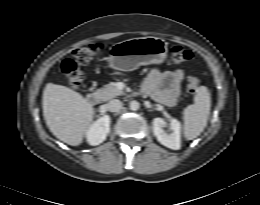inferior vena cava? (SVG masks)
Listing matches in <instances>:
<instances>
[{"label": "inferior vena cava", "instance_id": "602c4592", "mask_svg": "<svg viewBox=\"0 0 260 205\" xmlns=\"http://www.w3.org/2000/svg\"><path fill=\"white\" fill-rule=\"evenodd\" d=\"M106 106H107L109 111L117 112V111H119L122 108L123 103L120 100H118V99H113L110 102H108L106 104Z\"/></svg>", "mask_w": 260, "mask_h": 205}]
</instances>
